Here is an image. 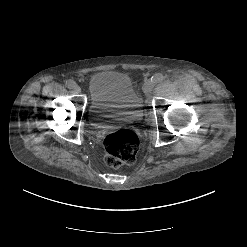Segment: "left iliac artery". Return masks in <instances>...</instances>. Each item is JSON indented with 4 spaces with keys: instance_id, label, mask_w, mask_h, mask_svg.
I'll return each instance as SVG.
<instances>
[{
    "instance_id": "obj_1",
    "label": "left iliac artery",
    "mask_w": 247,
    "mask_h": 247,
    "mask_svg": "<svg viewBox=\"0 0 247 247\" xmlns=\"http://www.w3.org/2000/svg\"><path fill=\"white\" fill-rule=\"evenodd\" d=\"M163 79H164L163 74L157 73V74H155L154 76H152L151 81H152L153 83H158V82H161Z\"/></svg>"
}]
</instances>
